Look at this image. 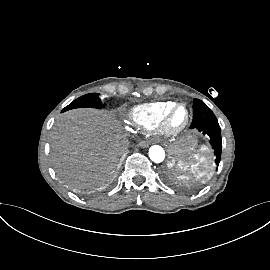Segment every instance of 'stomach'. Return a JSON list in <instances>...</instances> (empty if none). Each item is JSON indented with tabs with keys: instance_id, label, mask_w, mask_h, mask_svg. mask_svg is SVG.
I'll use <instances>...</instances> for the list:
<instances>
[{
	"instance_id": "0dacf381",
	"label": "stomach",
	"mask_w": 270,
	"mask_h": 270,
	"mask_svg": "<svg viewBox=\"0 0 270 270\" xmlns=\"http://www.w3.org/2000/svg\"><path fill=\"white\" fill-rule=\"evenodd\" d=\"M196 145L197 139L190 133L169 144L168 167L178 178L184 179L189 172L182 163L195 150Z\"/></svg>"
}]
</instances>
